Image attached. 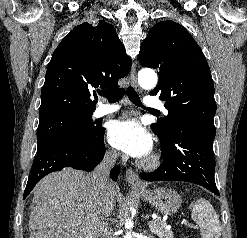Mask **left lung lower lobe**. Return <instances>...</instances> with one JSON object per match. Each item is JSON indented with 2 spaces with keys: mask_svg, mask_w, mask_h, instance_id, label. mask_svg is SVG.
Here are the masks:
<instances>
[{
  "mask_svg": "<svg viewBox=\"0 0 247 238\" xmlns=\"http://www.w3.org/2000/svg\"><path fill=\"white\" fill-rule=\"evenodd\" d=\"M161 151L162 164L152 173H141L143 180L191 182L220 195L214 179L212 142L199 135L180 131L170 142H161Z\"/></svg>",
  "mask_w": 247,
  "mask_h": 238,
  "instance_id": "0a47b994",
  "label": "left lung lower lobe"
}]
</instances>
